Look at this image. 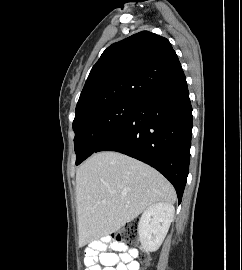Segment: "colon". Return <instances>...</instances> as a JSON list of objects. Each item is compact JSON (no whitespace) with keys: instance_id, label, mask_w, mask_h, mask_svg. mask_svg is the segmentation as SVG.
<instances>
[{"instance_id":"5ec220e1","label":"colon","mask_w":242,"mask_h":270,"mask_svg":"<svg viewBox=\"0 0 242 270\" xmlns=\"http://www.w3.org/2000/svg\"><path fill=\"white\" fill-rule=\"evenodd\" d=\"M138 223L136 221H131L127 223L123 229L118 231L114 236L113 239L115 242H119L122 244H132L135 243L138 239ZM150 257L146 253H142L140 255V261L144 264L148 263Z\"/></svg>"}]
</instances>
